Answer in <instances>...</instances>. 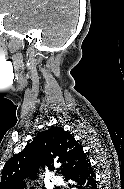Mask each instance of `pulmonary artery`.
<instances>
[{
  "label": "pulmonary artery",
  "mask_w": 124,
  "mask_h": 189,
  "mask_svg": "<svg viewBox=\"0 0 124 189\" xmlns=\"http://www.w3.org/2000/svg\"><path fill=\"white\" fill-rule=\"evenodd\" d=\"M52 184L55 185V186H59V185L62 184V181H61V179L58 178V177H53V178H52Z\"/></svg>",
  "instance_id": "1"
}]
</instances>
